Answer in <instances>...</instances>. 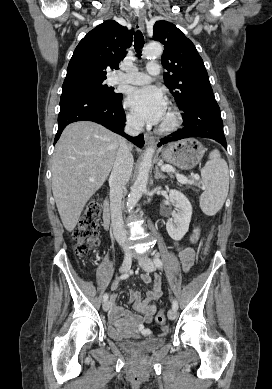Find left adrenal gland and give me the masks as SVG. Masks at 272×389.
I'll use <instances>...</instances> for the list:
<instances>
[{"label": "left adrenal gland", "instance_id": "a2214340", "mask_svg": "<svg viewBox=\"0 0 272 389\" xmlns=\"http://www.w3.org/2000/svg\"><path fill=\"white\" fill-rule=\"evenodd\" d=\"M154 178H155L156 180H157V179H164V178H166V176L163 175L162 173H160V170H159V168L157 167V168H156V172H155Z\"/></svg>", "mask_w": 272, "mask_h": 389}]
</instances>
